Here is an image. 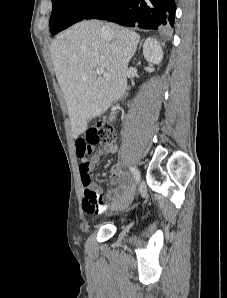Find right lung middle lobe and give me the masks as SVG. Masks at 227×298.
Instances as JSON below:
<instances>
[{
  "mask_svg": "<svg viewBox=\"0 0 227 298\" xmlns=\"http://www.w3.org/2000/svg\"><path fill=\"white\" fill-rule=\"evenodd\" d=\"M106 0H52L50 17L52 35L86 18Z\"/></svg>",
  "mask_w": 227,
  "mask_h": 298,
  "instance_id": "dd1d6c3e",
  "label": "right lung middle lobe"
}]
</instances>
